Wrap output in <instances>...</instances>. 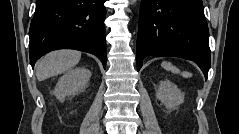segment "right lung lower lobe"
<instances>
[{
	"mask_svg": "<svg viewBox=\"0 0 239 134\" xmlns=\"http://www.w3.org/2000/svg\"><path fill=\"white\" fill-rule=\"evenodd\" d=\"M105 0H36L30 25V64L56 49H75L100 58L106 67Z\"/></svg>",
	"mask_w": 239,
	"mask_h": 134,
	"instance_id": "obj_1",
	"label": "right lung lower lobe"
}]
</instances>
